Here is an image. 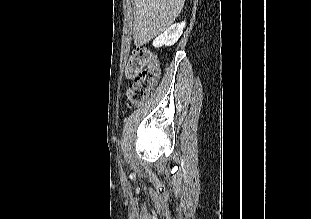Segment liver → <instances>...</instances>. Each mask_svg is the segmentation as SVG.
<instances>
[{
  "instance_id": "6515ba94",
  "label": "liver",
  "mask_w": 311,
  "mask_h": 219,
  "mask_svg": "<svg viewBox=\"0 0 311 219\" xmlns=\"http://www.w3.org/2000/svg\"><path fill=\"white\" fill-rule=\"evenodd\" d=\"M134 44L142 46L173 24L185 0H132Z\"/></svg>"
}]
</instances>
